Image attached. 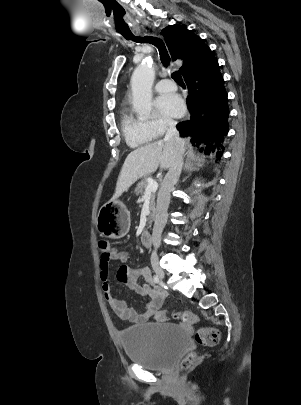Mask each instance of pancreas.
Returning <instances> with one entry per match:
<instances>
[{"label": "pancreas", "mask_w": 301, "mask_h": 405, "mask_svg": "<svg viewBox=\"0 0 301 405\" xmlns=\"http://www.w3.org/2000/svg\"><path fill=\"white\" fill-rule=\"evenodd\" d=\"M147 185H148V180L147 179H144L141 182H139L136 189H135V194L136 195H143L144 190L147 187ZM155 197H156V195H155V193H153L151 195V200H150L151 216L148 218L149 227H150V225H151V223L153 221L154 214H155Z\"/></svg>", "instance_id": "1"}]
</instances>
